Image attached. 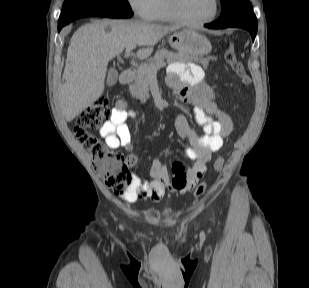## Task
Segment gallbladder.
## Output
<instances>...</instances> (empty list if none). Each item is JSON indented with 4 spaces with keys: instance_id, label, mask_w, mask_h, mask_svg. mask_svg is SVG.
<instances>
[{
    "instance_id": "1",
    "label": "gallbladder",
    "mask_w": 309,
    "mask_h": 288,
    "mask_svg": "<svg viewBox=\"0 0 309 288\" xmlns=\"http://www.w3.org/2000/svg\"><path fill=\"white\" fill-rule=\"evenodd\" d=\"M118 79V72L116 70L111 69L108 73L107 85L113 86Z\"/></svg>"
}]
</instances>
